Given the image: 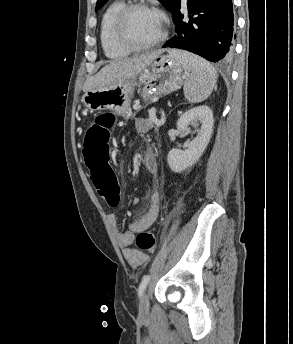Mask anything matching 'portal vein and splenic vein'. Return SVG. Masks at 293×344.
I'll return each mask as SVG.
<instances>
[{
  "label": "portal vein and splenic vein",
  "mask_w": 293,
  "mask_h": 344,
  "mask_svg": "<svg viewBox=\"0 0 293 344\" xmlns=\"http://www.w3.org/2000/svg\"><path fill=\"white\" fill-rule=\"evenodd\" d=\"M152 120H153L155 123L158 122V120H157L155 117H153Z\"/></svg>",
  "instance_id": "1"
}]
</instances>
